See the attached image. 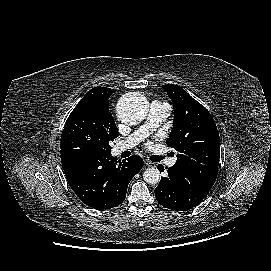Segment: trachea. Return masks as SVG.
Instances as JSON below:
<instances>
[{"label": "trachea", "mask_w": 271, "mask_h": 271, "mask_svg": "<svg viewBox=\"0 0 271 271\" xmlns=\"http://www.w3.org/2000/svg\"><path fill=\"white\" fill-rule=\"evenodd\" d=\"M161 159H162V157H161V156H158V161L161 160Z\"/></svg>", "instance_id": "trachea-1"}]
</instances>
